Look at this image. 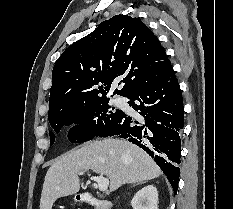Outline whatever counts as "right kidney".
I'll return each mask as SVG.
<instances>
[{
    "label": "right kidney",
    "instance_id": "obj_1",
    "mask_svg": "<svg viewBox=\"0 0 233 209\" xmlns=\"http://www.w3.org/2000/svg\"><path fill=\"white\" fill-rule=\"evenodd\" d=\"M133 209H158V191L153 185L139 190L131 200Z\"/></svg>",
    "mask_w": 233,
    "mask_h": 209
}]
</instances>
